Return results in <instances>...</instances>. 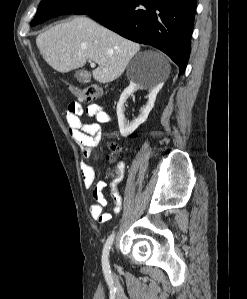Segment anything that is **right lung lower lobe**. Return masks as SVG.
Instances as JSON below:
<instances>
[{
	"label": "right lung lower lobe",
	"instance_id": "right-lung-lower-lobe-1",
	"mask_svg": "<svg viewBox=\"0 0 247 299\" xmlns=\"http://www.w3.org/2000/svg\"><path fill=\"white\" fill-rule=\"evenodd\" d=\"M196 0H123L88 14L119 35L151 45L186 68L191 49Z\"/></svg>",
	"mask_w": 247,
	"mask_h": 299
}]
</instances>
